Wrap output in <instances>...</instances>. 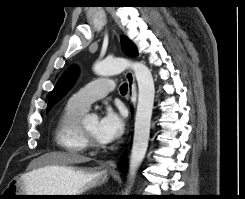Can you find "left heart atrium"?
Here are the masks:
<instances>
[{"label":"left heart atrium","mask_w":245,"mask_h":199,"mask_svg":"<svg viewBox=\"0 0 245 199\" xmlns=\"http://www.w3.org/2000/svg\"><path fill=\"white\" fill-rule=\"evenodd\" d=\"M124 116L122 111L107 107L98 120L97 138L100 143H111L117 140L124 131Z\"/></svg>","instance_id":"39dd6f15"}]
</instances>
